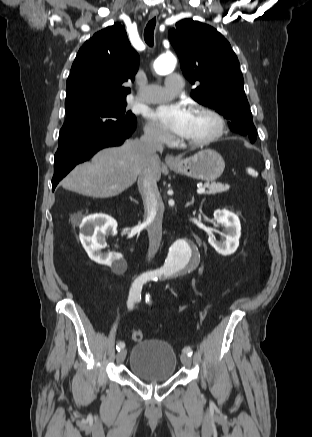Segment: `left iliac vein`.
Listing matches in <instances>:
<instances>
[{"instance_id":"obj_1","label":"left iliac vein","mask_w":312,"mask_h":437,"mask_svg":"<svg viewBox=\"0 0 312 437\" xmlns=\"http://www.w3.org/2000/svg\"><path fill=\"white\" fill-rule=\"evenodd\" d=\"M181 362L184 366L190 367L192 360L191 357L187 353H182L181 355Z\"/></svg>"}]
</instances>
